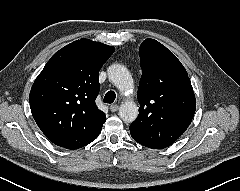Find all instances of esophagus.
Instances as JSON below:
<instances>
[{"label":"esophagus","mask_w":240,"mask_h":191,"mask_svg":"<svg viewBox=\"0 0 240 191\" xmlns=\"http://www.w3.org/2000/svg\"><path fill=\"white\" fill-rule=\"evenodd\" d=\"M118 109H119V106H118V105H111V106H110V110H111L112 112H116Z\"/></svg>","instance_id":"34e87169"}]
</instances>
